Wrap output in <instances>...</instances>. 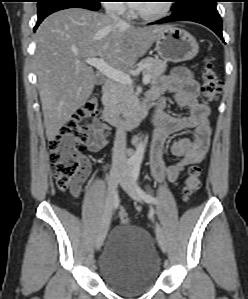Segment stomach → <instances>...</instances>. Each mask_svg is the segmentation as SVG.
<instances>
[{"label": "stomach", "mask_w": 248, "mask_h": 299, "mask_svg": "<svg viewBox=\"0 0 248 299\" xmlns=\"http://www.w3.org/2000/svg\"><path fill=\"white\" fill-rule=\"evenodd\" d=\"M155 43L158 55L167 62L187 61L198 53L196 39L184 29L172 25L164 27Z\"/></svg>", "instance_id": "0dacf381"}]
</instances>
